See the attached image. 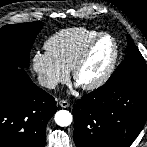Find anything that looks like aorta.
I'll use <instances>...</instances> for the list:
<instances>
[{
    "mask_svg": "<svg viewBox=\"0 0 147 147\" xmlns=\"http://www.w3.org/2000/svg\"><path fill=\"white\" fill-rule=\"evenodd\" d=\"M72 115L67 110H59L55 114V122L61 127L69 126L72 123Z\"/></svg>",
    "mask_w": 147,
    "mask_h": 147,
    "instance_id": "762f6f07",
    "label": "aorta"
}]
</instances>
